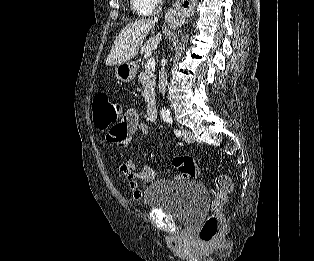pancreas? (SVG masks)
I'll list each match as a JSON object with an SVG mask.
<instances>
[{"instance_id":"cf45deb5","label":"pancreas","mask_w":314,"mask_h":261,"mask_svg":"<svg viewBox=\"0 0 314 261\" xmlns=\"http://www.w3.org/2000/svg\"><path fill=\"white\" fill-rule=\"evenodd\" d=\"M138 81L142 84L143 91L142 96L147 103H152L155 101V82L156 77L154 70L147 67L141 72L138 77Z\"/></svg>"}]
</instances>
